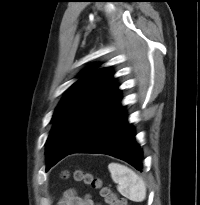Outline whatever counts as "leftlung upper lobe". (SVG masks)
Wrapping results in <instances>:
<instances>
[{"label": "left lung upper lobe", "mask_w": 200, "mask_h": 205, "mask_svg": "<svg viewBox=\"0 0 200 205\" xmlns=\"http://www.w3.org/2000/svg\"><path fill=\"white\" fill-rule=\"evenodd\" d=\"M86 68L67 91L52 118L46 142L48 170L64 158L102 117L120 94L108 68Z\"/></svg>", "instance_id": "obj_1"}]
</instances>
